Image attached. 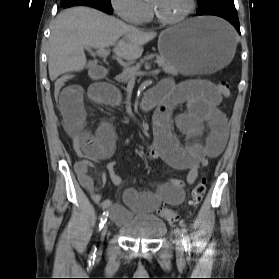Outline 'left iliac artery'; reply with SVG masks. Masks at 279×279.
Segmentation results:
<instances>
[{
	"instance_id": "44dca946",
	"label": "left iliac artery",
	"mask_w": 279,
	"mask_h": 279,
	"mask_svg": "<svg viewBox=\"0 0 279 279\" xmlns=\"http://www.w3.org/2000/svg\"><path fill=\"white\" fill-rule=\"evenodd\" d=\"M182 238H183L182 240H183L185 251L189 252L191 249V243L185 228H182Z\"/></svg>"
}]
</instances>
